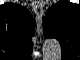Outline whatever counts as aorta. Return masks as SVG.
<instances>
[{
	"instance_id": "1",
	"label": "aorta",
	"mask_w": 80,
	"mask_h": 60,
	"mask_svg": "<svg viewBox=\"0 0 80 60\" xmlns=\"http://www.w3.org/2000/svg\"><path fill=\"white\" fill-rule=\"evenodd\" d=\"M44 47L47 51L54 52L56 54H60L61 52L60 43L56 39H48L45 41Z\"/></svg>"
}]
</instances>
